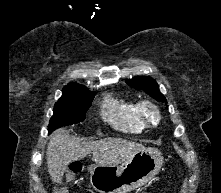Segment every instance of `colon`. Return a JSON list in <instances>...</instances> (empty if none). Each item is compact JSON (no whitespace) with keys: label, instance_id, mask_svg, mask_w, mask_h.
I'll list each match as a JSON object with an SVG mask.
<instances>
[{"label":"colon","instance_id":"1","mask_svg":"<svg viewBox=\"0 0 221 193\" xmlns=\"http://www.w3.org/2000/svg\"><path fill=\"white\" fill-rule=\"evenodd\" d=\"M79 169H80L79 166L74 165V166L72 167L71 171H72L73 173H76V172L79 171Z\"/></svg>","mask_w":221,"mask_h":193}]
</instances>
